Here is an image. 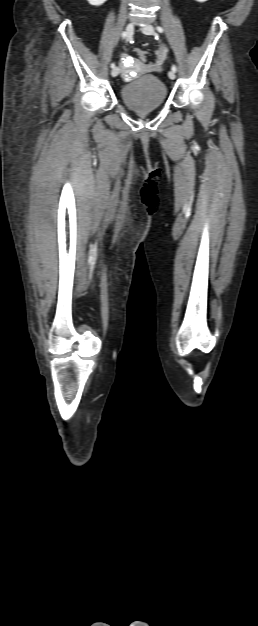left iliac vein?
<instances>
[{
  "instance_id": "4c4485c4",
  "label": "left iliac vein",
  "mask_w": 258,
  "mask_h": 626,
  "mask_svg": "<svg viewBox=\"0 0 258 626\" xmlns=\"http://www.w3.org/2000/svg\"><path fill=\"white\" fill-rule=\"evenodd\" d=\"M141 31H142L144 34H146V35H153V34H154V28H153V26H152V25H150V24L144 25V26L141 28ZM168 76H169V78H170V79H172V80H174V79L176 78L175 72H173L172 70H170V71L168 72Z\"/></svg>"
}]
</instances>
